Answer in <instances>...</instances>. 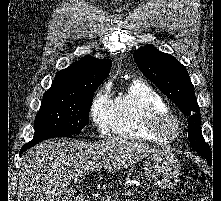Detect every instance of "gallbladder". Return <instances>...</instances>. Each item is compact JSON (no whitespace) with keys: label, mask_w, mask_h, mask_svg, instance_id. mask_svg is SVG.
Listing matches in <instances>:
<instances>
[{"label":"gallbladder","mask_w":221,"mask_h":201,"mask_svg":"<svg viewBox=\"0 0 221 201\" xmlns=\"http://www.w3.org/2000/svg\"><path fill=\"white\" fill-rule=\"evenodd\" d=\"M75 196V192L72 189H67L65 192L66 199L73 198Z\"/></svg>","instance_id":"obj_1"}]
</instances>
